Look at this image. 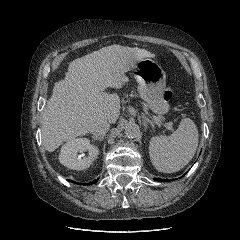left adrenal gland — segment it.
<instances>
[{
	"label": "left adrenal gland",
	"mask_w": 240,
	"mask_h": 240,
	"mask_svg": "<svg viewBox=\"0 0 240 240\" xmlns=\"http://www.w3.org/2000/svg\"><path fill=\"white\" fill-rule=\"evenodd\" d=\"M142 118H143V124L145 126V129H147V126H148L149 123L152 126H154L153 122L149 118H147L145 114H142Z\"/></svg>",
	"instance_id": "1"
}]
</instances>
